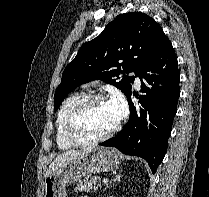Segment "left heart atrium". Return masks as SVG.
<instances>
[{
	"mask_svg": "<svg viewBox=\"0 0 209 197\" xmlns=\"http://www.w3.org/2000/svg\"><path fill=\"white\" fill-rule=\"evenodd\" d=\"M106 107L109 110L114 123H118L126 113V106L123 98L115 94L107 102Z\"/></svg>",
	"mask_w": 209,
	"mask_h": 197,
	"instance_id": "left-heart-atrium-1",
	"label": "left heart atrium"
}]
</instances>
